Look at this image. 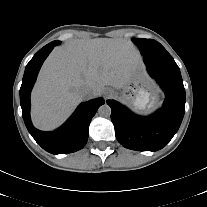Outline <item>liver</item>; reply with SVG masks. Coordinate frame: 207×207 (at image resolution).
Wrapping results in <instances>:
<instances>
[{"instance_id":"1","label":"liver","mask_w":207,"mask_h":207,"mask_svg":"<svg viewBox=\"0 0 207 207\" xmlns=\"http://www.w3.org/2000/svg\"><path fill=\"white\" fill-rule=\"evenodd\" d=\"M139 52L126 39H77L56 47L45 61L31 95L32 120L42 130L63 123L84 99L79 89H91V97L105 86L122 89L134 73Z\"/></svg>"}]
</instances>
